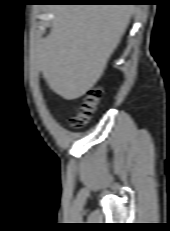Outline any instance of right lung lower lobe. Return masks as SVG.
<instances>
[{"mask_svg":"<svg viewBox=\"0 0 170 231\" xmlns=\"http://www.w3.org/2000/svg\"><path fill=\"white\" fill-rule=\"evenodd\" d=\"M131 0H47V2L57 4H68V3H124L130 2Z\"/></svg>","mask_w":170,"mask_h":231,"instance_id":"right-lung-lower-lobe-1","label":"right lung lower lobe"}]
</instances>
